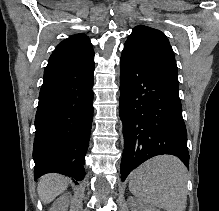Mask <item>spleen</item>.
<instances>
[{
  "label": "spleen",
  "mask_w": 219,
  "mask_h": 211,
  "mask_svg": "<svg viewBox=\"0 0 219 211\" xmlns=\"http://www.w3.org/2000/svg\"><path fill=\"white\" fill-rule=\"evenodd\" d=\"M187 167L175 155H156L133 169L129 189L143 203L157 205L167 211H184Z\"/></svg>",
  "instance_id": "1"
}]
</instances>
